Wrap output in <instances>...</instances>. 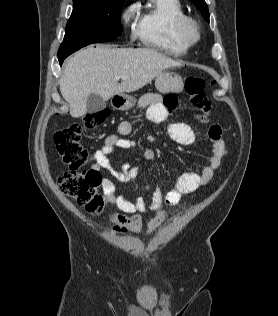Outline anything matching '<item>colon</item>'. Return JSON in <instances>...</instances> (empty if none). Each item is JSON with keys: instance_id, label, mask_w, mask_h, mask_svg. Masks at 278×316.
Returning <instances> with one entry per match:
<instances>
[{"instance_id": "5ec220e1", "label": "colon", "mask_w": 278, "mask_h": 316, "mask_svg": "<svg viewBox=\"0 0 278 316\" xmlns=\"http://www.w3.org/2000/svg\"><path fill=\"white\" fill-rule=\"evenodd\" d=\"M204 90L203 79H186L185 91L190 104L200 110L202 115L208 116L211 107ZM106 118L105 111L90 113L84 116L82 123H72L54 134L57 152L69 168L58 177L59 188L63 194L84 205L92 214H100L103 210L104 200L99 192L102 178L96 171L83 169L93 159V154L82 145L81 139L84 129H95Z\"/></svg>"}]
</instances>
